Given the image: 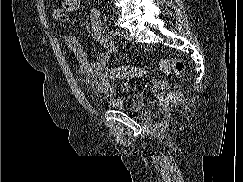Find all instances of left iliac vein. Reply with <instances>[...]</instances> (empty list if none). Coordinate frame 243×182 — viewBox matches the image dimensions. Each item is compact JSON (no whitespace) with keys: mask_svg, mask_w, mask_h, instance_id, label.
I'll return each mask as SVG.
<instances>
[{"mask_svg":"<svg viewBox=\"0 0 243 182\" xmlns=\"http://www.w3.org/2000/svg\"><path fill=\"white\" fill-rule=\"evenodd\" d=\"M123 36L128 41H131L133 39L131 34L129 32H127V31L124 32Z\"/></svg>","mask_w":243,"mask_h":182,"instance_id":"obj_1","label":"left iliac vein"}]
</instances>
